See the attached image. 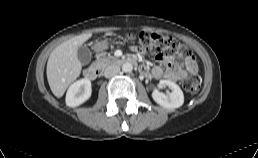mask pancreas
I'll list each match as a JSON object with an SVG mask.
<instances>
[{"label": "pancreas", "instance_id": "obj_1", "mask_svg": "<svg viewBox=\"0 0 258 158\" xmlns=\"http://www.w3.org/2000/svg\"><path fill=\"white\" fill-rule=\"evenodd\" d=\"M116 59L112 56H102L99 59H97L96 63L100 64L102 67H106L113 63Z\"/></svg>", "mask_w": 258, "mask_h": 158}]
</instances>
